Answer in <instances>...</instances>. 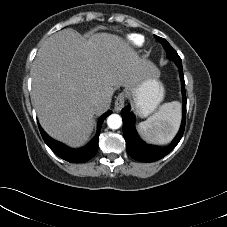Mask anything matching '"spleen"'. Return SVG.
<instances>
[{
	"label": "spleen",
	"instance_id": "3e777b00",
	"mask_svg": "<svg viewBox=\"0 0 227 227\" xmlns=\"http://www.w3.org/2000/svg\"><path fill=\"white\" fill-rule=\"evenodd\" d=\"M180 119V103H165L160 106L158 112L138 124V132L150 143L167 144L176 134Z\"/></svg>",
	"mask_w": 227,
	"mask_h": 227
}]
</instances>
